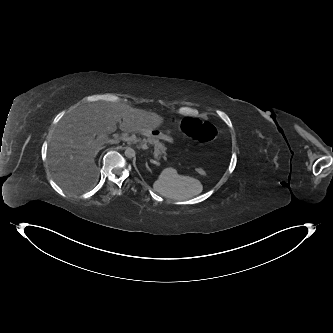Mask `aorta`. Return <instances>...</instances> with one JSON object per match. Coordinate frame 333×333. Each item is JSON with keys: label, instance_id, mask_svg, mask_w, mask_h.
Returning <instances> with one entry per match:
<instances>
[{"label": "aorta", "instance_id": "762f6f07", "mask_svg": "<svg viewBox=\"0 0 333 333\" xmlns=\"http://www.w3.org/2000/svg\"><path fill=\"white\" fill-rule=\"evenodd\" d=\"M124 154L127 158H133L135 157V150L133 148L127 147Z\"/></svg>", "mask_w": 333, "mask_h": 333}]
</instances>
